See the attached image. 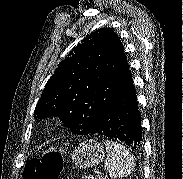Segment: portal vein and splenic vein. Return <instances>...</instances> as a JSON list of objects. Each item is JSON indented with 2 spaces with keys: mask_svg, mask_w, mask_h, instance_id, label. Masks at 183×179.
I'll return each instance as SVG.
<instances>
[{
  "mask_svg": "<svg viewBox=\"0 0 183 179\" xmlns=\"http://www.w3.org/2000/svg\"><path fill=\"white\" fill-rule=\"evenodd\" d=\"M89 177H92V179L94 178L93 176H89ZM97 177L98 179H102L103 178L102 173H98Z\"/></svg>",
  "mask_w": 183,
  "mask_h": 179,
  "instance_id": "obj_1",
  "label": "portal vein and splenic vein"
}]
</instances>
